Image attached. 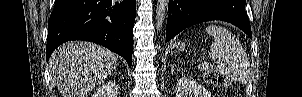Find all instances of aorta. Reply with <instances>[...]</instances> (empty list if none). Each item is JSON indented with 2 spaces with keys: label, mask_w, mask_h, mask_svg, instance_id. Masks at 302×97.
Instances as JSON below:
<instances>
[{
  "label": "aorta",
  "mask_w": 302,
  "mask_h": 97,
  "mask_svg": "<svg viewBox=\"0 0 302 97\" xmlns=\"http://www.w3.org/2000/svg\"><path fill=\"white\" fill-rule=\"evenodd\" d=\"M168 0H158L157 1V9H156V29L160 30L162 24L165 20L167 8H168Z\"/></svg>",
  "instance_id": "762f6f07"
}]
</instances>
